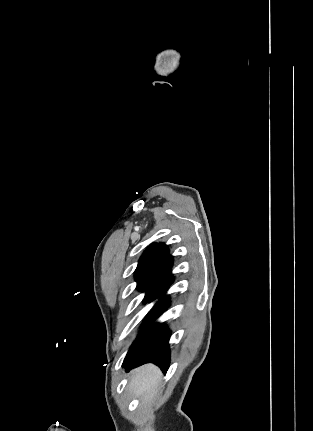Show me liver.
I'll return each instance as SVG.
<instances>
[{"mask_svg":"<svg viewBox=\"0 0 313 431\" xmlns=\"http://www.w3.org/2000/svg\"><path fill=\"white\" fill-rule=\"evenodd\" d=\"M161 372L152 364L141 366L131 372L129 391L136 397H142L144 402L149 401L159 386Z\"/></svg>","mask_w":313,"mask_h":431,"instance_id":"obj_1","label":"liver"}]
</instances>
